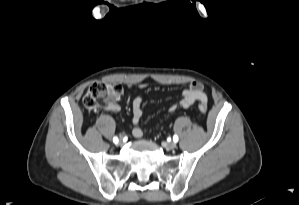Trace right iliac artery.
<instances>
[{"mask_svg": "<svg viewBox=\"0 0 299 205\" xmlns=\"http://www.w3.org/2000/svg\"><path fill=\"white\" fill-rule=\"evenodd\" d=\"M113 142H114L115 144H117V143H118V138H117V137H114V138H113Z\"/></svg>", "mask_w": 299, "mask_h": 205, "instance_id": "obj_1", "label": "right iliac artery"}]
</instances>
